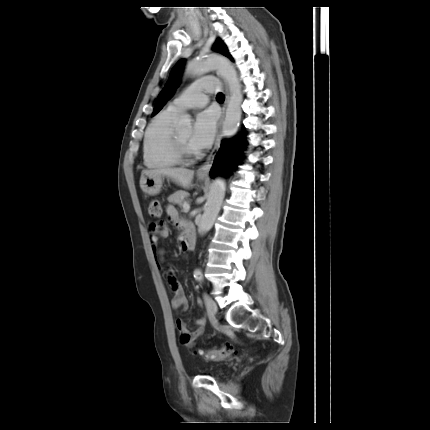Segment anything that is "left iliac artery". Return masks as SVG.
Masks as SVG:
<instances>
[{
  "label": "left iliac artery",
  "instance_id": "1",
  "mask_svg": "<svg viewBox=\"0 0 430 430\" xmlns=\"http://www.w3.org/2000/svg\"><path fill=\"white\" fill-rule=\"evenodd\" d=\"M194 278L198 281H202L203 280V274L200 270L196 269L194 271Z\"/></svg>",
  "mask_w": 430,
  "mask_h": 430
}]
</instances>
